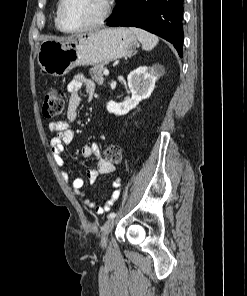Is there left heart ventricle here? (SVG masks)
I'll return each mask as SVG.
<instances>
[{"instance_id": "left-heart-ventricle-1", "label": "left heart ventricle", "mask_w": 247, "mask_h": 296, "mask_svg": "<svg viewBox=\"0 0 247 296\" xmlns=\"http://www.w3.org/2000/svg\"><path fill=\"white\" fill-rule=\"evenodd\" d=\"M102 0H66L62 22L66 28L77 29L96 21L102 12Z\"/></svg>"}]
</instances>
